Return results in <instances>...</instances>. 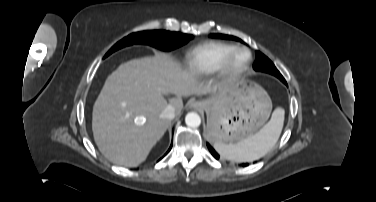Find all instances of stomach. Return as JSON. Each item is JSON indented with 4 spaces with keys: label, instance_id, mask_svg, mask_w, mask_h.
Returning a JSON list of instances; mask_svg holds the SVG:
<instances>
[{
    "label": "stomach",
    "instance_id": "stomach-1",
    "mask_svg": "<svg viewBox=\"0 0 376 202\" xmlns=\"http://www.w3.org/2000/svg\"><path fill=\"white\" fill-rule=\"evenodd\" d=\"M207 113V134L212 142L236 143L256 133L267 121L271 100L258 85L230 82L219 93L198 102Z\"/></svg>",
    "mask_w": 376,
    "mask_h": 202
}]
</instances>
